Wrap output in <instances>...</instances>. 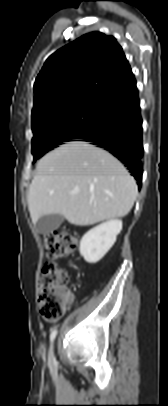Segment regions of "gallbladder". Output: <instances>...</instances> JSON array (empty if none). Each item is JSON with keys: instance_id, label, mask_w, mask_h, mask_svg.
<instances>
[{"instance_id": "bac80fb5", "label": "gallbladder", "mask_w": 168, "mask_h": 406, "mask_svg": "<svg viewBox=\"0 0 168 406\" xmlns=\"http://www.w3.org/2000/svg\"><path fill=\"white\" fill-rule=\"evenodd\" d=\"M64 222V217L59 214L44 215L36 223V230L41 234H49Z\"/></svg>"}]
</instances>
